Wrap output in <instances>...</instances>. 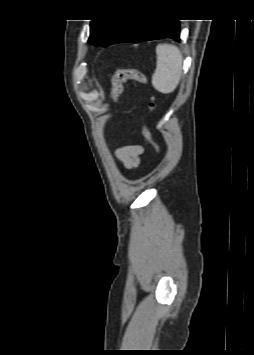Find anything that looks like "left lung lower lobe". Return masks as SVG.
Wrapping results in <instances>:
<instances>
[{
    "label": "left lung lower lobe",
    "instance_id": "1",
    "mask_svg": "<svg viewBox=\"0 0 254 355\" xmlns=\"http://www.w3.org/2000/svg\"><path fill=\"white\" fill-rule=\"evenodd\" d=\"M180 22L172 19H130L116 42L139 43L162 38L180 40ZM115 42V43H116Z\"/></svg>",
    "mask_w": 254,
    "mask_h": 355
}]
</instances>
